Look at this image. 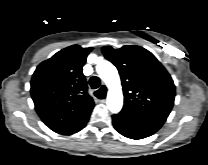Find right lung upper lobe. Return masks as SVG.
<instances>
[{"label": "right lung upper lobe", "instance_id": "obj_1", "mask_svg": "<svg viewBox=\"0 0 208 165\" xmlns=\"http://www.w3.org/2000/svg\"><path fill=\"white\" fill-rule=\"evenodd\" d=\"M92 48L72 45L42 62L31 80V95L41 120L54 132L83 129L94 107L83 66Z\"/></svg>", "mask_w": 208, "mask_h": 165}]
</instances>
